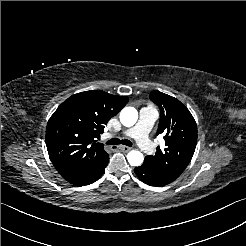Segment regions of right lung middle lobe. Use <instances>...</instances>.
Segmentation results:
<instances>
[{
    "label": "right lung middle lobe",
    "mask_w": 246,
    "mask_h": 246,
    "mask_svg": "<svg viewBox=\"0 0 246 246\" xmlns=\"http://www.w3.org/2000/svg\"><path fill=\"white\" fill-rule=\"evenodd\" d=\"M73 166H74V167H85V166H91V165H84V164H81V165H80V164H78V165H73ZM73 166H72V167H73Z\"/></svg>",
    "instance_id": "dd1d6c3e"
}]
</instances>
